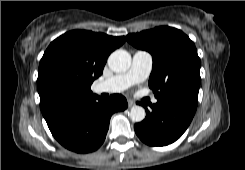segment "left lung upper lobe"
<instances>
[{
    "label": "left lung upper lobe",
    "mask_w": 245,
    "mask_h": 170,
    "mask_svg": "<svg viewBox=\"0 0 245 170\" xmlns=\"http://www.w3.org/2000/svg\"><path fill=\"white\" fill-rule=\"evenodd\" d=\"M129 43L151 53L149 87L157 99L198 103L200 59L194 43L181 30L161 26L126 36Z\"/></svg>",
    "instance_id": "5c2ea615"
}]
</instances>
